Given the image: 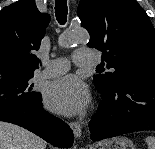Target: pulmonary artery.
Returning a JSON list of instances; mask_svg holds the SVG:
<instances>
[{
  "label": "pulmonary artery",
  "mask_w": 155,
  "mask_h": 149,
  "mask_svg": "<svg viewBox=\"0 0 155 149\" xmlns=\"http://www.w3.org/2000/svg\"><path fill=\"white\" fill-rule=\"evenodd\" d=\"M73 62L77 66H93L99 62L98 56L90 49L80 48L73 53ZM70 62L66 58H57L48 61L42 76L46 78L55 77L66 73L69 70Z\"/></svg>",
  "instance_id": "e3ab8cb5"
}]
</instances>
